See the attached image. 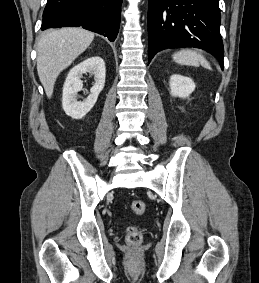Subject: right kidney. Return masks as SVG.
<instances>
[{"mask_svg": "<svg viewBox=\"0 0 259 283\" xmlns=\"http://www.w3.org/2000/svg\"><path fill=\"white\" fill-rule=\"evenodd\" d=\"M85 73L94 75L95 83L90 95L82 102L76 100L77 93L82 90L81 77ZM105 62L100 57H91L73 67L63 86L62 106L65 113L73 119L83 118L95 105L105 85Z\"/></svg>", "mask_w": 259, "mask_h": 283, "instance_id": "obj_1", "label": "right kidney"}]
</instances>
